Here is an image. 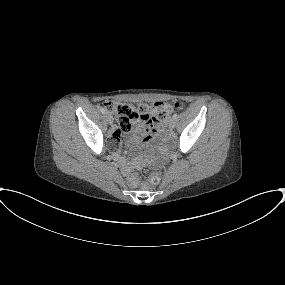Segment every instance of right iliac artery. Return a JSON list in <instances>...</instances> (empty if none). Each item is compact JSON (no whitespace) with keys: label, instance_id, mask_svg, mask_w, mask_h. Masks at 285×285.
I'll use <instances>...</instances> for the list:
<instances>
[{"label":"right iliac artery","instance_id":"1","mask_svg":"<svg viewBox=\"0 0 285 285\" xmlns=\"http://www.w3.org/2000/svg\"><path fill=\"white\" fill-rule=\"evenodd\" d=\"M100 111H101V113H103V114H106V113H107V110H106L105 108H103V107H100Z\"/></svg>","mask_w":285,"mask_h":285}]
</instances>
